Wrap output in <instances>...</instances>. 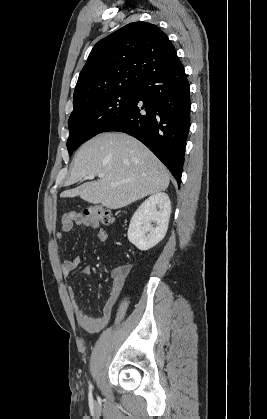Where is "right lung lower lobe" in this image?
I'll use <instances>...</instances> for the list:
<instances>
[{
  "label": "right lung lower lobe",
  "mask_w": 267,
  "mask_h": 419,
  "mask_svg": "<svg viewBox=\"0 0 267 419\" xmlns=\"http://www.w3.org/2000/svg\"><path fill=\"white\" fill-rule=\"evenodd\" d=\"M190 107L189 82L178 60L147 77L125 113L103 132H124L140 140L180 184Z\"/></svg>",
  "instance_id": "obj_1"
}]
</instances>
